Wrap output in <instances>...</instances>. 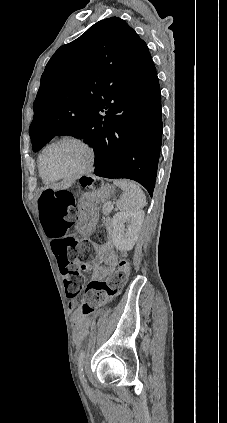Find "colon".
Wrapping results in <instances>:
<instances>
[{
  "label": "colon",
  "instance_id": "colon-1",
  "mask_svg": "<svg viewBox=\"0 0 227 423\" xmlns=\"http://www.w3.org/2000/svg\"><path fill=\"white\" fill-rule=\"evenodd\" d=\"M82 186H92L90 179L80 181ZM40 219L46 234L56 240L54 254L63 277L68 298L77 297L84 281L83 273L95 257V245L108 241V229L99 226L88 240L77 241L65 236L77 218L75 198L69 189L47 188L38 198ZM129 274V261L121 256L117 270L106 281H91L85 291L81 313L89 315L108 297L117 295L125 286Z\"/></svg>",
  "mask_w": 227,
  "mask_h": 423
}]
</instances>
